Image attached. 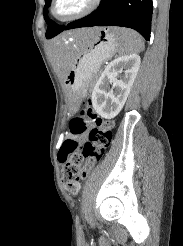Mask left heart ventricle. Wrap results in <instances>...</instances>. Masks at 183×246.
<instances>
[{"label": "left heart ventricle", "instance_id": "1", "mask_svg": "<svg viewBox=\"0 0 183 246\" xmlns=\"http://www.w3.org/2000/svg\"><path fill=\"white\" fill-rule=\"evenodd\" d=\"M89 0H58L55 11L60 17H66L82 10Z\"/></svg>", "mask_w": 183, "mask_h": 246}]
</instances>
